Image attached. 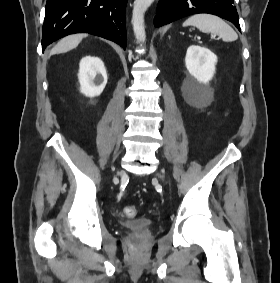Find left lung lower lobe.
<instances>
[{
	"instance_id": "left-lung-lower-lobe-1",
	"label": "left lung lower lobe",
	"mask_w": 280,
	"mask_h": 283,
	"mask_svg": "<svg viewBox=\"0 0 280 283\" xmlns=\"http://www.w3.org/2000/svg\"><path fill=\"white\" fill-rule=\"evenodd\" d=\"M197 13H208L222 17L231 21L240 31L234 0H159L154 25L160 27Z\"/></svg>"
}]
</instances>
